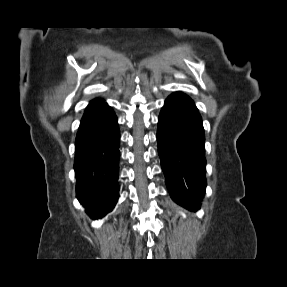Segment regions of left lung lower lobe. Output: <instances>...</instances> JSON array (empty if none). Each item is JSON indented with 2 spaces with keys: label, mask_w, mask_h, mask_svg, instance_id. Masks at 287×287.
<instances>
[{
  "label": "left lung lower lobe",
  "mask_w": 287,
  "mask_h": 287,
  "mask_svg": "<svg viewBox=\"0 0 287 287\" xmlns=\"http://www.w3.org/2000/svg\"><path fill=\"white\" fill-rule=\"evenodd\" d=\"M158 153L171 198L197 211L205 193V148L202 119L194 101L172 93L158 118Z\"/></svg>",
  "instance_id": "1"
}]
</instances>
